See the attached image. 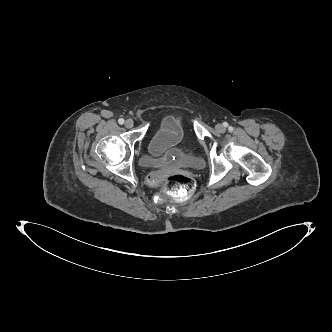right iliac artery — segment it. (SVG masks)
<instances>
[{"label": "right iliac artery", "mask_w": 332, "mask_h": 332, "mask_svg": "<svg viewBox=\"0 0 332 332\" xmlns=\"http://www.w3.org/2000/svg\"><path fill=\"white\" fill-rule=\"evenodd\" d=\"M118 122H119V124H124V119L123 118H120L119 120H118Z\"/></svg>", "instance_id": "1"}]
</instances>
